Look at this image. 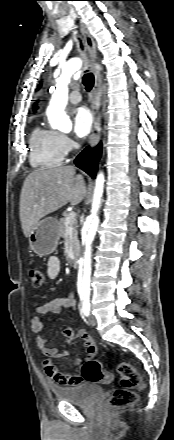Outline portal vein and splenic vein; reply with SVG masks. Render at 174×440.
Instances as JSON below:
<instances>
[{"mask_svg": "<svg viewBox=\"0 0 174 440\" xmlns=\"http://www.w3.org/2000/svg\"><path fill=\"white\" fill-rule=\"evenodd\" d=\"M75 220H76V213L72 211L66 217L65 225L66 226L72 225L75 222Z\"/></svg>", "mask_w": 174, "mask_h": 440, "instance_id": "portal-vein-and-splenic-vein-1", "label": "portal vein and splenic vein"}]
</instances>
